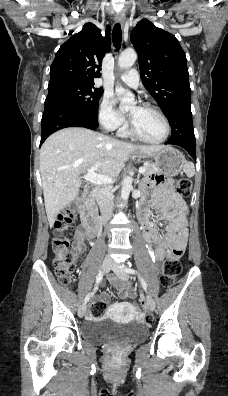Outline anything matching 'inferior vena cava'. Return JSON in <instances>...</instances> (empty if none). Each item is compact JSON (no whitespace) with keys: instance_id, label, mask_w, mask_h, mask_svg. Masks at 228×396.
Wrapping results in <instances>:
<instances>
[{"instance_id":"1","label":"inferior vena cava","mask_w":228,"mask_h":396,"mask_svg":"<svg viewBox=\"0 0 228 396\" xmlns=\"http://www.w3.org/2000/svg\"><path fill=\"white\" fill-rule=\"evenodd\" d=\"M98 201L101 208L102 220L107 222L112 214L114 208L113 195L110 187L101 188L97 194Z\"/></svg>"}]
</instances>
